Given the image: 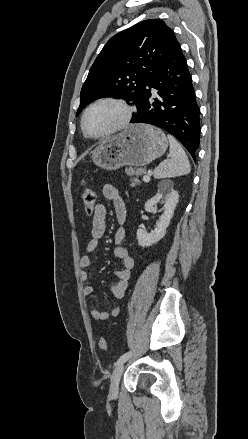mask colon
Instances as JSON below:
<instances>
[{
    "label": "colon",
    "instance_id": "obj_1",
    "mask_svg": "<svg viewBox=\"0 0 248 439\" xmlns=\"http://www.w3.org/2000/svg\"><path fill=\"white\" fill-rule=\"evenodd\" d=\"M95 200H96V195L94 190L86 182H84L82 201H83L84 210L87 215L93 214L95 209ZM98 346L104 352L109 351L107 341L103 337H100L98 339Z\"/></svg>",
    "mask_w": 248,
    "mask_h": 439
}]
</instances>
